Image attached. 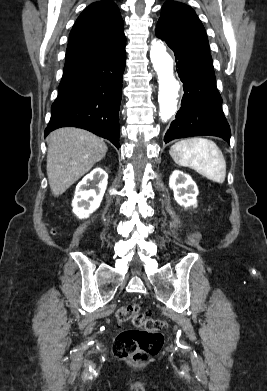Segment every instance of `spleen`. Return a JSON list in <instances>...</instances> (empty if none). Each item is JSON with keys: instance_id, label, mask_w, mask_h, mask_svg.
<instances>
[{"instance_id": "1", "label": "spleen", "mask_w": 267, "mask_h": 391, "mask_svg": "<svg viewBox=\"0 0 267 391\" xmlns=\"http://www.w3.org/2000/svg\"><path fill=\"white\" fill-rule=\"evenodd\" d=\"M169 153L178 165L190 167L213 182L225 181V158L213 141L199 137L181 140Z\"/></svg>"}]
</instances>
